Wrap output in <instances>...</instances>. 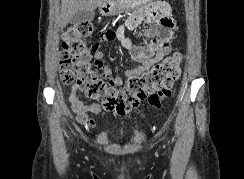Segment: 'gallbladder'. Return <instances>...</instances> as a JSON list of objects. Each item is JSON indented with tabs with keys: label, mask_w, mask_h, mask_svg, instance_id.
Segmentation results:
<instances>
[{
	"label": "gallbladder",
	"mask_w": 244,
	"mask_h": 179,
	"mask_svg": "<svg viewBox=\"0 0 244 179\" xmlns=\"http://www.w3.org/2000/svg\"><path fill=\"white\" fill-rule=\"evenodd\" d=\"M95 14L93 10H82V12H77L73 18L70 20V24H82V22H91L93 20Z\"/></svg>",
	"instance_id": "1"
}]
</instances>
